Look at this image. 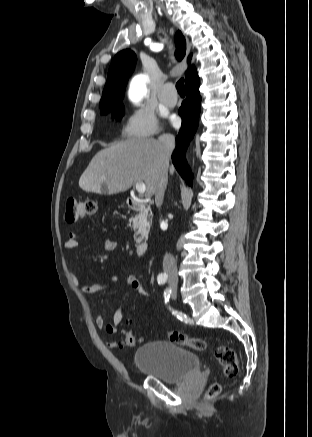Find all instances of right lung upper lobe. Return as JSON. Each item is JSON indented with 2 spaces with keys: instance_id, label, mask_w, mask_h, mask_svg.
Wrapping results in <instances>:
<instances>
[{
  "instance_id": "1",
  "label": "right lung upper lobe",
  "mask_w": 312,
  "mask_h": 437,
  "mask_svg": "<svg viewBox=\"0 0 312 437\" xmlns=\"http://www.w3.org/2000/svg\"><path fill=\"white\" fill-rule=\"evenodd\" d=\"M176 57L181 61L186 53V41L181 32H177L175 36ZM189 55L188 60H191ZM137 58L135 53L126 49L119 52L110 65L108 71L107 82L105 84L102 98L100 100V113H109L114 108L123 105L121 103L128 78L130 77ZM197 75L194 66L189 67L186 71L185 83L192 77Z\"/></svg>"
}]
</instances>
